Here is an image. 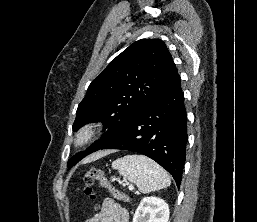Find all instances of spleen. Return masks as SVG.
<instances>
[{
    "instance_id": "obj_1",
    "label": "spleen",
    "mask_w": 257,
    "mask_h": 222,
    "mask_svg": "<svg viewBox=\"0 0 257 222\" xmlns=\"http://www.w3.org/2000/svg\"><path fill=\"white\" fill-rule=\"evenodd\" d=\"M112 168L125 179L137 185L142 193H149L170 186L168 173L144 155H126L116 159Z\"/></svg>"
}]
</instances>
